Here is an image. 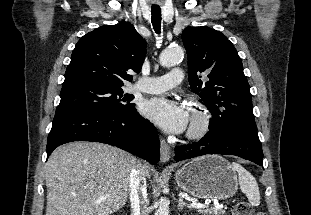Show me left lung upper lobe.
Segmentation results:
<instances>
[{
	"label": "left lung upper lobe",
	"instance_id": "1",
	"mask_svg": "<svg viewBox=\"0 0 311 215\" xmlns=\"http://www.w3.org/2000/svg\"><path fill=\"white\" fill-rule=\"evenodd\" d=\"M182 41L192 92L212 114L209 127L219 128L236 120L255 121L242 61L228 38L202 26L184 29Z\"/></svg>",
	"mask_w": 311,
	"mask_h": 215
}]
</instances>
